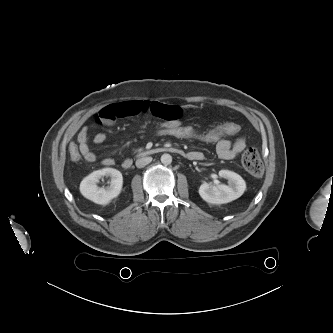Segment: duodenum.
Returning a JSON list of instances; mask_svg holds the SVG:
<instances>
[{"label":"duodenum","mask_w":333,"mask_h":333,"mask_svg":"<svg viewBox=\"0 0 333 333\" xmlns=\"http://www.w3.org/2000/svg\"><path fill=\"white\" fill-rule=\"evenodd\" d=\"M162 152H170V153L179 154V155L184 154L182 150H180L179 148H176V147H155V148H151V149L147 150L144 153V155L151 156V155L159 154ZM186 156L188 157L189 155L186 154ZM132 164H133L132 159L127 158L122 162V167L124 169H129V168H131Z\"/></svg>","instance_id":"duodenum-1"}]
</instances>
